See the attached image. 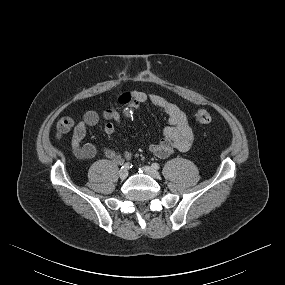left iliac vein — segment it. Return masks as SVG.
Segmentation results:
<instances>
[{
    "label": "left iliac vein",
    "instance_id": "1",
    "mask_svg": "<svg viewBox=\"0 0 285 285\" xmlns=\"http://www.w3.org/2000/svg\"><path fill=\"white\" fill-rule=\"evenodd\" d=\"M142 170L144 171L145 174L151 176L154 179L160 178L159 172L156 169H154L153 167L144 166V167H142Z\"/></svg>",
    "mask_w": 285,
    "mask_h": 285
}]
</instances>
